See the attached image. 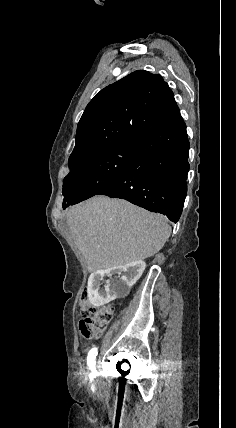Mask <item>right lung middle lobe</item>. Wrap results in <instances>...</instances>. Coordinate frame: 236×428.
Here are the masks:
<instances>
[{
    "label": "right lung middle lobe",
    "instance_id": "dd1d6c3e",
    "mask_svg": "<svg viewBox=\"0 0 236 428\" xmlns=\"http://www.w3.org/2000/svg\"><path fill=\"white\" fill-rule=\"evenodd\" d=\"M137 152V139H130L70 165L63 183V208L96 195L126 168Z\"/></svg>",
    "mask_w": 236,
    "mask_h": 428
}]
</instances>
